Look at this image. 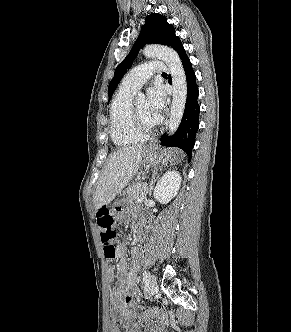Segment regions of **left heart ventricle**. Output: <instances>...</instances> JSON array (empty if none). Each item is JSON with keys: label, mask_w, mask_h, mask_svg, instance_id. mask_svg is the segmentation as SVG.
<instances>
[{"label": "left heart ventricle", "mask_w": 291, "mask_h": 332, "mask_svg": "<svg viewBox=\"0 0 291 332\" xmlns=\"http://www.w3.org/2000/svg\"><path fill=\"white\" fill-rule=\"evenodd\" d=\"M136 105H137V110H138L140 120L143 123V125H145L146 127H149V128L156 126V123L153 120L151 112L149 110L147 101L143 100V99L138 100V101H136Z\"/></svg>", "instance_id": "b2bd125f"}]
</instances>
